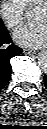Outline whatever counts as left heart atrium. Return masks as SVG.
Segmentation results:
<instances>
[{"label":"left heart atrium","instance_id":"obj_1","mask_svg":"<svg viewBox=\"0 0 47 129\" xmlns=\"http://www.w3.org/2000/svg\"><path fill=\"white\" fill-rule=\"evenodd\" d=\"M14 40L26 47H42L47 41L46 22L28 23L14 32Z\"/></svg>","mask_w":47,"mask_h":129}]
</instances>
